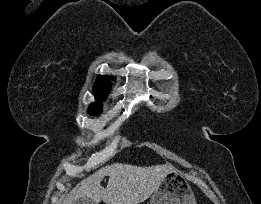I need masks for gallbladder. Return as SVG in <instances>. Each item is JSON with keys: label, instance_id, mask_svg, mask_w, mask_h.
I'll list each match as a JSON object with an SVG mask.
<instances>
[{"label": "gallbladder", "instance_id": "1", "mask_svg": "<svg viewBox=\"0 0 261 204\" xmlns=\"http://www.w3.org/2000/svg\"><path fill=\"white\" fill-rule=\"evenodd\" d=\"M74 204H94V202L89 198H80Z\"/></svg>", "mask_w": 261, "mask_h": 204}]
</instances>
